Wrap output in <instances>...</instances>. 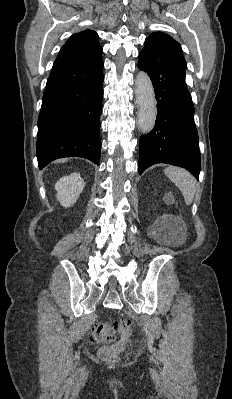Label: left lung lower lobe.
<instances>
[{
    "label": "left lung lower lobe",
    "mask_w": 232,
    "mask_h": 399,
    "mask_svg": "<svg viewBox=\"0 0 232 399\" xmlns=\"http://www.w3.org/2000/svg\"><path fill=\"white\" fill-rule=\"evenodd\" d=\"M138 68L152 81L158 111L153 130L140 138L139 174L153 164L166 163L199 179L201 155L194 104L185 83L186 62L167 44L152 41L140 52Z\"/></svg>",
    "instance_id": "1"
}]
</instances>
